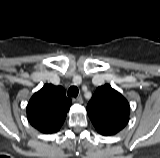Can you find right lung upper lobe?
<instances>
[{"label":"right lung upper lobe","mask_w":160,"mask_h":158,"mask_svg":"<svg viewBox=\"0 0 160 158\" xmlns=\"http://www.w3.org/2000/svg\"><path fill=\"white\" fill-rule=\"evenodd\" d=\"M71 103L63 87L45 84L29 100L28 121L42 133H55L64 123Z\"/></svg>","instance_id":"right-lung-upper-lobe-1"}]
</instances>
